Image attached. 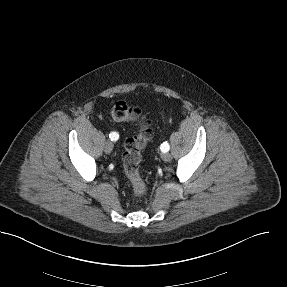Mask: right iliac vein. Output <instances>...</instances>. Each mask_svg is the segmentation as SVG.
<instances>
[{
	"instance_id": "right-iliac-vein-1",
	"label": "right iliac vein",
	"mask_w": 287,
	"mask_h": 287,
	"mask_svg": "<svg viewBox=\"0 0 287 287\" xmlns=\"http://www.w3.org/2000/svg\"><path fill=\"white\" fill-rule=\"evenodd\" d=\"M112 150H113V144H112V142L107 141V142L105 143V145H104V151H105V153L109 154V153L112 152Z\"/></svg>"
}]
</instances>
